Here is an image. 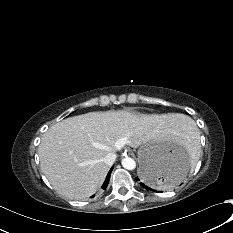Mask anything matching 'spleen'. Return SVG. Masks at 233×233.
I'll use <instances>...</instances> for the list:
<instances>
[{
  "label": "spleen",
  "mask_w": 233,
  "mask_h": 233,
  "mask_svg": "<svg viewBox=\"0 0 233 233\" xmlns=\"http://www.w3.org/2000/svg\"><path fill=\"white\" fill-rule=\"evenodd\" d=\"M181 118V117H180ZM182 125L180 129L177 132L178 137L180 141L178 142L177 148L180 153L185 154L186 160L188 162L194 163L199 160L200 154H199V143H198V130L193 121L185 117L181 118ZM184 177H180L179 182L180 183ZM175 184H172L171 186H174Z\"/></svg>",
  "instance_id": "1"
}]
</instances>
